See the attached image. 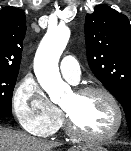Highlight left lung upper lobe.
I'll use <instances>...</instances> for the list:
<instances>
[{
  "instance_id": "obj_1",
  "label": "left lung upper lobe",
  "mask_w": 131,
  "mask_h": 151,
  "mask_svg": "<svg viewBox=\"0 0 131 151\" xmlns=\"http://www.w3.org/2000/svg\"><path fill=\"white\" fill-rule=\"evenodd\" d=\"M86 53L94 75L123 106L131 134V25L128 18L97 5L85 18Z\"/></svg>"
}]
</instances>
